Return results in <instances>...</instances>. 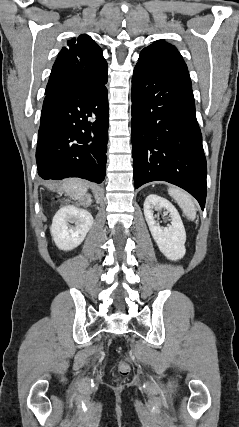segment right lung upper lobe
Instances as JSON below:
<instances>
[{"label":"right lung upper lobe","mask_w":239,"mask_h":427,"mask_svg":"<svg viewBox=\"0 0 239 427\" xmlns=\"http://www.w3.org/2000/svg\"><path fill=\"white\" fill-rule=\"evenodd\" d=\"M53 65L46 92L70 81L92 80L108 71L101 48L88 35L67 42Z\"/></svg>","instance_id":"cb5924a9"}]
</instances>
